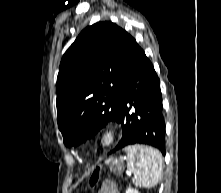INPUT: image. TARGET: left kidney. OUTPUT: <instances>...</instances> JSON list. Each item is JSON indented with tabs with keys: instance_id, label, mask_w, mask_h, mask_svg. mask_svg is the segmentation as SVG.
Masks as SVG:
<instances>
[{
	"instance_id": "obj_1",
	"label": "left kidney",
	"mask_w": 221,
	"mask_h": 193,
	"mask_svg": "<svg viewBox=\"0 0 221 193\" xmlns=\"http://www.w3.org/2000/svg\"><path fill=\"white\" fill-rule=\"evenodd\" d=\"M126 193H139V192H138V190H136V189L128 188V189L126 190Z\"/></svg>"
}]
</instances>
